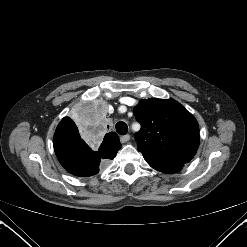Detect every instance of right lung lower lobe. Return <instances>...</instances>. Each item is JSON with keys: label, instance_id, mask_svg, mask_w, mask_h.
<instances>
[{"label": "right lung lower lobe", "instance_id": "obj_1", "mask_svg": "<svg viewBox=\"0 0 247 247\" xmlns=\"http://www.w3.org/2000/svg\"><path fill=\"white\" fill-rule=\"evenodd\" d=\"M54 150L61 165L76 176H92L99 172L109 159L116 156L117 151L105 152L92 150L80 135L55 133Z\"/></svg>", "mask_w": 247, "mask_h": 247}]
</instances>
